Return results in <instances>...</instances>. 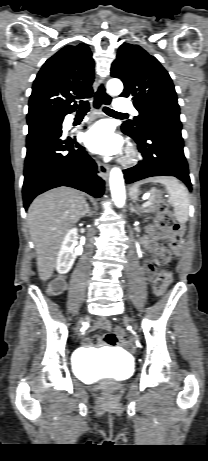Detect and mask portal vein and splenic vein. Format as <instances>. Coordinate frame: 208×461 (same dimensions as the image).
Instances as JSON below:
<instances>
[{
    "label": "portal vein and splenic vein",
    "instance_id": "obj_1",
    "mask_svg": "<svg viewBox=\"0 0 208 461\" xmlns=\"http://www.w3.org/2000/svg\"><path fill=\"white\" fill-rule=\"evenodd\" d=\"M148 198H149V195L146 194V195L143 197V200H147ZM150 204H152V201H151V200H147V201L143 204V206L146 207V206H148V205H150Z\"/></svg>",
    "mask_w": 208,
    "mask_h": 461
}]
</instances>
